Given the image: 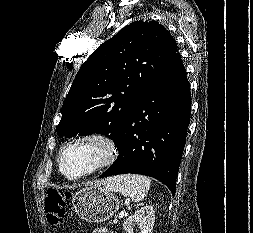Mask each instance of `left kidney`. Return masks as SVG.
I'll use <instances>...</instances> for the list:
<instances>
[{"label": "left kidney", "instance_id": "1", "mask_svg": "<svg viewBox=\"0 0 253 233\" xmlns=\"http://www.w3.org/2000/svg\"><path fill=\"white\" fill-rule=\"evenodd\" d=\"M154 221L155 211L153 206H143L125 220L123 229L126 233H133V227L138 225L140 233H152Z\"/></svg>", "mask_w": 253, "mask_h": 233}]
</instances>
